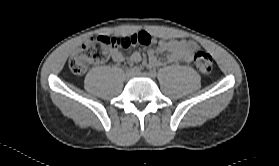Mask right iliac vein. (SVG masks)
Returning <instances> with one entry per match:
<instances>
[{"mask_svg": "<svg viewBox=\"0 0 279 166\" xmlns=\"http://www.w3.org/2000/svg\"><path fill=\"white\" fill-rule=\"evenodd\" d=\"M135 75V73L132 71V70H128L127 72H126V79H130L132 76H134Z\"/></svg>", "mask_w": 279, "mask_h": 166, "instance_id": "obj_1", "label": "right iliac vein"}]
</instances>
